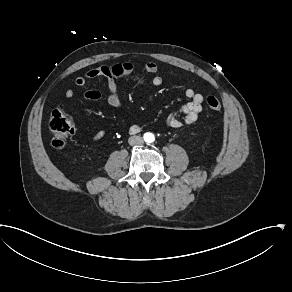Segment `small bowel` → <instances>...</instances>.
Instances as JSON below:
<instances>
[{
  "mask_svg": "<svg viewBox=\"0 0 292 292\" xmlns=\"http://www.w3.org/2000/svg\"><path fill=\"white\" fill-rule=\"evenodd\" d=\"M144 69L152 76L153 85L160 86L162 84L163 79L158 74V67L155 63H146ZM133 71L134 66L130 62L116 63L111 66L102 65L92 68L83 75L76 77L74 83L76 86L82 87L92 79L104 78L107 85L105 94L107 104L113 109H120L122 104L118 97L119 82L132 74ZM74 95L75 91L71 88L65 91L66 98H73ZM185 95L189 99V102L181 107L180 110L170 114L166 118V124L171 128H180L193 124L202 111L203 96L200 93L189 87L185 90ZM84 98L87 100H99L102 98V94L98 90H88L84 93ZM104 136L105 133L99 131L92 135V139L98 141L104 138Z\"/></svg>",
  "mask_w": 292,
  "mask_h": 292,
  "instance_id": "1",
  "label": "small bowel"
}]
</instances>
